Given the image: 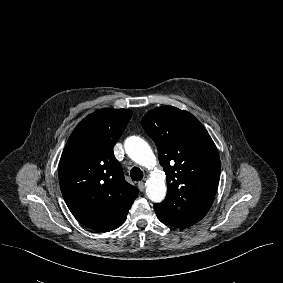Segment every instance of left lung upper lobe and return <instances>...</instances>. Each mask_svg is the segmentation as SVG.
<instances>
[{
	"instance_id": "left-lung-upper-lobe-1",
	"label": "left lung upper lobe",
	"mask_w": 283,
	"mask_h": 283,
	"mask_svg": "<svg viewBox=\"0 0 283 283\" xmlns=\"http://www.w3.org/2000/svg\"><path fill=\"white\" fill-rule=\"evenodd\" d=\"M141 125L155 142L167 178V195L154 205L164 224L186 228L209 211L219 183L220 158L203 125L173 106L155 108Z\"/></svg>"
}]
</instances>
